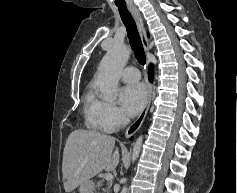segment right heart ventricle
Returning <instances> with one entry per match:
<instances>
[{
	"instance_id": "right-heart-ventricle-1",
	"label": "right heart ventricle",
	"mask_w": 237,
	"mask_h": 193,
	"mask_svg": "<svg viewBox=\"0 0 237 193\" xmlns=\"http://www.w3.org/2000/svg\"><path fill=\"white\" fill-rule=\"evenodd\" d=\"M98 100L95 98L94 90L89 87L83 95V110L87 123L89 126L97 131H103L99 116L97 113Z\"/></svg>"
}]
</instances>
